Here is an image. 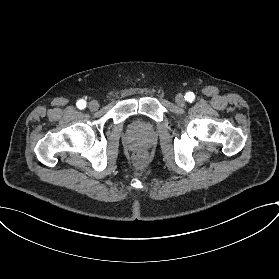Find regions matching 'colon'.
Returning a JSON list of instances; mask_svg holds the SVG:
<instances>
[{
  "label": "colon",
  "mask_w": 279,
  "mask_h": 279,
  "mask_svg": "<svg viewBox=\"0 0 279 279\" xmlns=\"http://www.w3.org/2000/svg\"><path fill=\"white\" fill-rule=\"evenodd\" d=\"M132 168L136 172H145L149 168V159L145 155H136L132 159Z\"/></svg>",
  "instance_id": "colon-1"
}]
</instances>
